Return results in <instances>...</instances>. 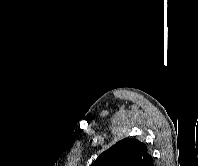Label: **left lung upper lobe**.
I'll return each mask as SVG.
<instances>
[{
    "instance_id": "left-lung-upper-lobe-1",
    "label": "left lung upper lobe",
    "mask_w": 198,
    "mask_h": 166,
    "mask_svg": "<svg viewBox=\"0 0 198 166\" xmlns=\"http://www.w3.org/2000/svg\"><path fill=\"white\" fill-rule=\"evenodd\" d=\"M91 166H153V158L143 142L124 138L100 154Z\"/></svg>"
}]
</instances>
